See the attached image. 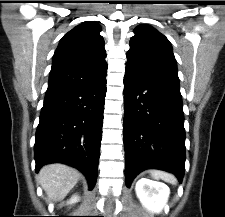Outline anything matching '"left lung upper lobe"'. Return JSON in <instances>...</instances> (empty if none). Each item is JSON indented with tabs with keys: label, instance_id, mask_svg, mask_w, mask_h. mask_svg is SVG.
<instances>
[{
	"label": "left lung upper lobe",
	"instance_id": "5c2ea615",
	"mask_svg": "<svg viewBox=\"0 0 225 217\" xmlns=\"http://www.w3.org/2000/svg\"><path fill=\"white\" fill-rule=\"evenodd\" d=\"M127 52L126 70L148 78L179 85L176 60L168 39L148 25L134 30Z\"/></svg>",
	"mask_w": 225,
	"mask_h": 217
}]
</instances>
